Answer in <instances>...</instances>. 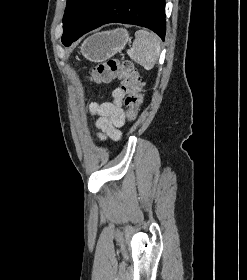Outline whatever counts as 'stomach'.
<instances>
[{
    "mask_svg": "<svg viewBox=\"0 0 247 280\" xmlns=\"http://www.w3.org/2000/svg\"><path fill=\"white\" fill-rule=\"evenodd\" d=\"M125 29L102 31L88 37L81 45V53L92 62H103L120 52L129 42Z\"/></svg>",
    "mask_w": 247,
    "mask_h": 280,
    "instance_id": "obj_1",
    "label": "stomach"
}]
</instances>
